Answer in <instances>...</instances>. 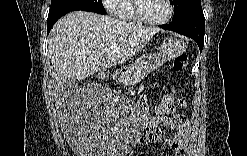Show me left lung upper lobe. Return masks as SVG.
I'll return each instance as SVG.
<instances>
[{"label":"left lung upper lobe","instance_id":"obj_1","mask_svg":"<svg viewBox=\"0 0 247 156\" xmlns=\"http://www.w3.org/2000/svg\"><path fill=\"white\" fill-rule=\"evenodd\" d=\"M175 14L172 21H180L189 16L196 9L201 8L200 0H174Z\"/></svg>","mask_w":247,"mask_h":156}]
</instances>
